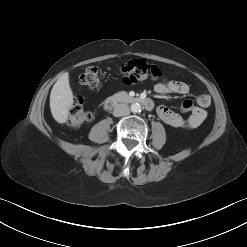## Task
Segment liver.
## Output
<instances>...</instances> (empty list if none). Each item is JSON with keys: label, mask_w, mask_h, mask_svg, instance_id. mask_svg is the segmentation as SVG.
<instances>
[{"label": "liver", "mask_w": 247, "mask_h": 247, "mask_svg": "<svg viewBox=\"0 0 247 247\" xmlns=\"http://www.w3.org/2000/svg\"><path fill=\"white\" fill-rule=\"evenodd\" d=\"M74 96L66 72L54 84L50 93V110L53 118L60 124L68 119L69 109L73 105Z\"/></svg>", "instance_id": "obj_1"}]
</instances>
